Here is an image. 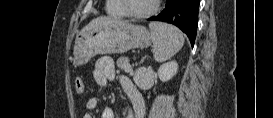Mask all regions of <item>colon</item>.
<instances>
[{"label":"colon","mask_w":273,"mask_h":118,"mask_svg":"<svg viewBox=\"0 0 273 118\" xmlns=\"http://www.w3.org/2000/svg\"><path fill=\"white\" fill-rule=\"evenodd\" d=\"M74 88L78 96H82L84 94V81L82 78L75 79Z\"/></svg>","instance_id":"1"}]
</instances>
